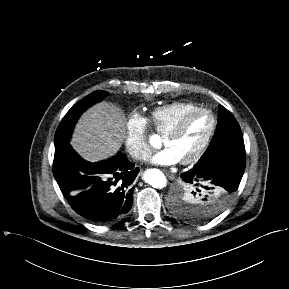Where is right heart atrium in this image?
Wrapping results in <instances>:
<instances>
[{
    "label": "right heart atrium",
    "instance_id": "d8ad5b80",
    "mask_svg": "<svg viewBox=\"0 0 289 289\" xmlns=\"http://www.w3.org/2000/svg\"><path fill=\"white\" fill-rule=\"evenodd\" d=\"M148 128L149 121L142 114L132 112L128 115L125 122V147L136 160H143L151 153Z\"/></svg>",
    "mask_w": 289,
    "mask_h": 289
}]
</instances>
